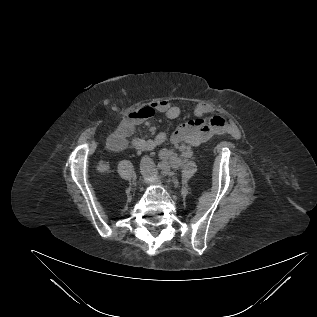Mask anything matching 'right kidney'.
Listing matches in <instances>:
<instances>
[{
	"instance_id": "obj_1",
	"label": "right kidney",
	"mask_w": 317,
	"mask_h": 317,
	"mask_svg": "<svg viewBox=\"0 0 317 317\" xmlns=\"http://www.w3.org/2000/svg\"><path fill=\"white\" fill-rule=\"evenodd\" d=\"M96 168L98 172L105 173L106 171L109 170L110 166L108 162L100 161Z\"/></svg>"
}]
</instances>
